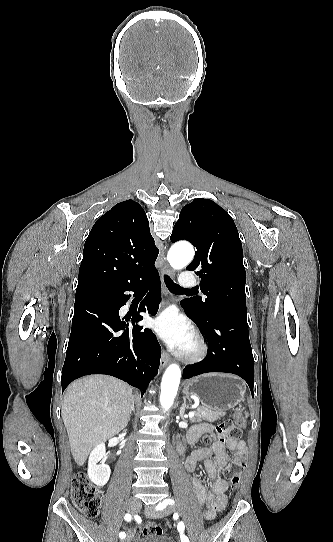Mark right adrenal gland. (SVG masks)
Returning a JSON list of instances; mask_svg holds the SVG:
<instances>
[{
	"label": "right adrenal gland",
	"instance_id": "2a0ac1e0",
	"mask_svg": "<svg viewBox=\"0 0 333 542\" xmlns=\"http://www.w3.org/2000/svg\"><path fill=\"white\" fill-rule=\"evenodd\" d=\"M131 412H135V408H134V400H133V402H132V410H131Z\"/></svg>",
	"mask_w": 333,
	"mask_h": 542
}]
</instances>
